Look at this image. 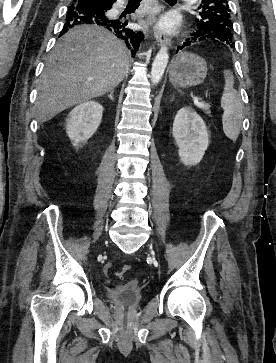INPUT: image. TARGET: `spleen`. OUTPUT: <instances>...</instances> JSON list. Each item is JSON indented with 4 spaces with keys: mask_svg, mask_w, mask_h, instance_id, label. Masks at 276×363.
<instances>
[{
    "mask_svg": "<svg viewBox=\"0 0 276 363\" xmlns=\"http://www.w3.org/2000/svg\"><path fill=\"white\" fill-rule=\"evenodd\" d=\"M225 86L221 97V106L224 110L222 115L223 131L225 135L236 140L240 133L243 114V102L240 94L234 89V76L230 70L224 71Z\"/></svg>",
    "mask_w": 276,
    "mask_h": 363,
    "instance_id": "spleen-1",
    "label": "spleen"
}]
</instances>
